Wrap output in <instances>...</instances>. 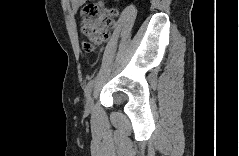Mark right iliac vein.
I'll list each match as a JSON object with an SVG mask.
<instances>
[{
	"instance_id": "right-iliac-vein-1",
	"label": "right iliac vein",
	"mask_w": 239,
	"mask_h": 156,
	"mask_svg": "<svg viewBox=\"0 0 239 156\" xmlns=\"http://www.w3.org/2000/svg\"><path fill=\"white\" fill-rule=\"evenodd\" d=\"M92 103H93V99H92V95L90 94L88 97H87V100H86V104H85V108L86 110L89 112L92 108Z\"/></svg>"
}]
</instances>
